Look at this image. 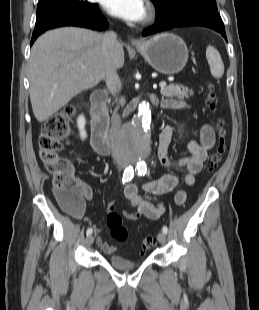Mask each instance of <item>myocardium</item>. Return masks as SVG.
<instances>
[{
    "mask_svg": "<svg viewBox=\"0 0 259 310\" xmlns=\"http://www.w3.org/2000/svg\"><path fill=\"white\" fill-rule=\"evenodd\" d=\"M156 18V8L154 5L149 4L146 9V13L144 18L142 19V24L143 25H148L152 23Z\"/></svg>",
    "mask_w": 259,
    "mask_h": 310,
    "instance_id": "f54148a6",
    "label": "myocardium"
}]
</instances>
